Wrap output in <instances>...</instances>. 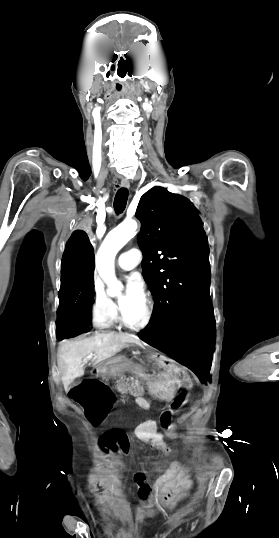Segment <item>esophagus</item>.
<instances>
[{
  "label": "esophagus",
  "mask_w": 279,
  "mask_h": 538,
  "mask_svg": "<svg viewBox=\"0 0 279 538\" xmlns=\"http://www.w3.org/2000/svg\"><path fill=\"white\" fill-rule=\"evenodd\" d=\"M121 185H122V187H124V188H129V186H130L129 181L126 180L125 178L122 179V181H121Z\"/></svg>",
  "instance_id": "esophagus-1"
}]
</instances>
